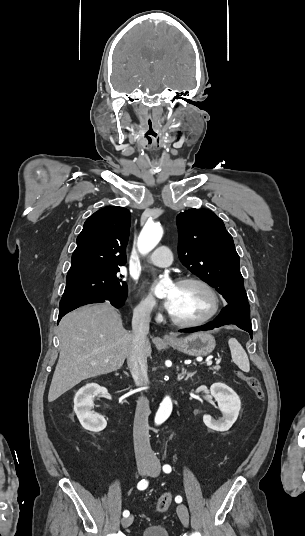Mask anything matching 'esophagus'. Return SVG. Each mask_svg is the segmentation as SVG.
Returning <instances> with one entry per match:
<instances>
[{
	"label": "esophagus",
	"instance_id": "obj_1",
	"mask_svg": "<svg viewBox=\"0 0 305 536\" xmlns=\"http://www.w3.org/2000/svg\"><path fill=\"white\" fill-rule=\"evenodd\" d=\"M171 337L169 335H164V341H170Z\"/></svg>",
	"mask_w": 305,
	"mask_h": 536
}]
</instances>
